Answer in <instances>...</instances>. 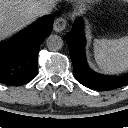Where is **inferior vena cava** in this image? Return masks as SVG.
<instances>
[{"label": "inferior vena cava", "mask_w": 128, "mask_h": 128, "mask_svg": "<svg viewBox=\"0 0 128 128\" xmlns=\"http://www.w3.org/2000/svg\"><path fill=\"white\" fill-rule=\"evenodd\" d=\"M52 8H53L52 3L47 1L37 6L34 12L37 16H44L50 14Z\"/></svg>", "instance_id": "inferior-vena-cava-1"}]
</instances>
